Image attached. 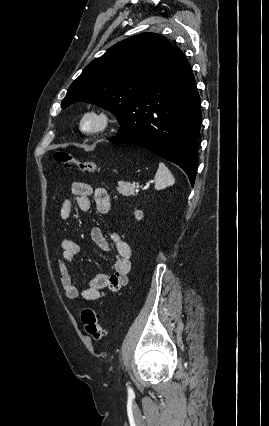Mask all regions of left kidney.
I'll return each instance as SVG.
<instances>
[{
	"mask_svg": "<svg viewBox=\"0 0 269 426\" xmlns=\"http://www.w3.org/2000/svg\"><path fill=\"white\" fill-rule=\"evenodd\" d=\"M134 215L137 220H141L144 216L141 210H135Z\"/></svg>",
	"mask_w": 269,
	"mask_h": 426,
	"instance_id": "obj_1",
	"label": "left kidney"
}]
</instances>
